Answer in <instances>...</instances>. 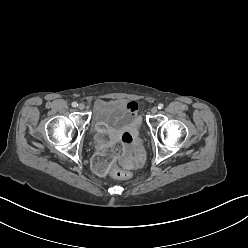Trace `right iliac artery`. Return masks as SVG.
Instances as JSON below:
<instances>
[{"instance_id": "right-iliac-artery-1", "label": "right iliac artery", "mask_w": 248, "mask_h": 248, "mask_svg": "<svg viewBox=\"0 0 248 248\" xmlns=\"http://www.w3.org/2000/svg\"><path fill=\"white\" fill-rule=\"evenodd\" d=\"M72 106H73V107H77V106H78L77 102H73V103H72Z\"/></svg>"}]
</instances>
